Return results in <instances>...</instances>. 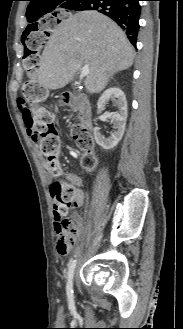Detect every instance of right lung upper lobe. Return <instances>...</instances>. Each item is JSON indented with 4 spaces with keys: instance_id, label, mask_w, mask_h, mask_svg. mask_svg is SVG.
I'll list each match as a JSON object with an SVG mask.
<instances>
[{
    "instance_id": "obj_1",
    "label": "right lung upper lobe",
    "mask_w": 183,
    "mask_h": 329,
    "mask_svg": "<svg viewBox=\"0 0 183 329\" xmlns=\"http://www.w3.org/2000/svg\"><path fill=\"white\" fill-rule=\"evenodd\" d=\"M30 4L27 8L26 16L29 22L37 21L41 16L46 14V9L54 5L56 2L62 1L60 5L71 0H29ZM36 24V23H33ZM30 26V25H29ZM28 26V27H29ZM27 27V28H28Z\"/></svg>"
}]
</instances>
